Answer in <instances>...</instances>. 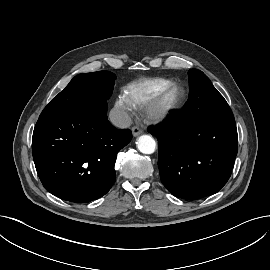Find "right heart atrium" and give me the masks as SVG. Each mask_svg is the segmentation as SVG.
Segmentation results:
<instances>
[{"mask_svg": "<svg viewBox=\"0 0 270 270\" xmlns=\"http://www.w3.org/2000/svg\"><path fill=\"white\" fill-rule=\"evenodd\" d=\"M115 107L121 114L122 120L126 122L129 119V111L132 109V106L125 95L121 94L117 97Z\"/></svg>", "mask_w": 270, "mask_h": 270, "instance_id": "1", "label": "right heart atrium"}]
</instances>
